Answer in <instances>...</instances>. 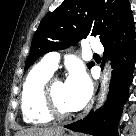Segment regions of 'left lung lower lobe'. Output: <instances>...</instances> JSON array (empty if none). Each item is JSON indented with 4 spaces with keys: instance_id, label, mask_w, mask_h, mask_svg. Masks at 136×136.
Wrapping results in <instances>:
<instances>
[{
    "instance_id": "1",
    "label": "left lung lower lobe",
    "mask_w": 136,
    "mask_h": 136,
    "mask_svg": "<svg viewBox=\"0 0 136 136\" xmlns=\"http://www.w3.org/2000/svg\"><path fill=\"white\" fill-rule=\"evenodd\" d=\"M102 44L105 48L104 58L112 61L113 69L108 99L97 113L91 111L84 119L64 127L94 136H118L117 126L129 96L136 62L135 29L131 12Z\"/></svg>"
}]
</instances>
